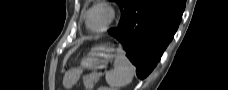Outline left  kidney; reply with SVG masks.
I'll list each match as a JSON object with an SVG mask.
<instances>
[{
    "label": "left kidney",
    "mask_w": 228,
    "mask_h": 90,
    "mask_svg": "<svg viewBox=\"0 0 228 90\" xmlns=\"http://www.w3.org/2000/svg\"><path fill=\"white\" fill-rule=\"evenodd\" d=\"M98 90H116V89H113V88H107V87H101V88H98Z\"/></svg>",
    "instance_id": "obj_1"
}]
</instances>
